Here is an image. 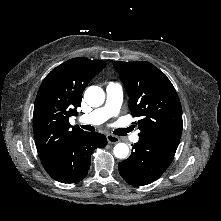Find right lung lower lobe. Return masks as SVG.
<instances>
[{"label": "right lung lower lobe", "instance_id": "98d812e1", "mask_svg": "<svg viewBox=\"0 0 221 221\" xmlns=\"http://www.w3.org/2000/svg\"><path fill=\"white\" fill-rule=\"evenodd\" d=\"M107 145V139L97 132H84L69 140L52 155L41 159L47 173L62 183H75L84 179L96 148Z\"/></svg>", "mask_w": 221, "mask_h": 221}]
</instances>
